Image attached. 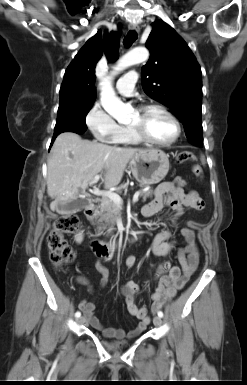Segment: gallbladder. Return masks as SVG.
Returning a JSON list of instances; mask_svg holds the SVG:
<instances>
[{"mask_svg": "<svg viewBox=\"0 0 247 385\" xmlns=\"http://www.w3.org/2000/svg\"><path fill=\"white\" fill-rule=\"evenodd\" d=\"M90 204V200L85 198H77L65 205L58 204L57 211L61 214H72L81 211Z\"/></svg>", "mask_w": 247, "mask_h": 385, "instance_id": "bac80fb5", "label": "gallbladder"}]
</instances>
